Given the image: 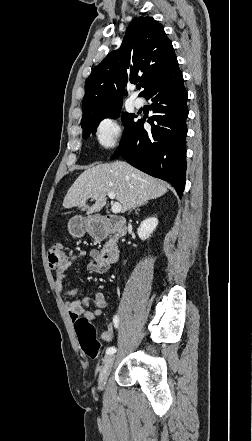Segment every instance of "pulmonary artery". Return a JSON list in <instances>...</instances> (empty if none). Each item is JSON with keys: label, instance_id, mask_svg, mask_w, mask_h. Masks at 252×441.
I'll list each match as a JSON object with an SVG mask.
<instances>
[{"label": "pulmonary artery", "instance_id": "e3ab8cb5", "mask_svg": "<svg viewBox=\"0 0 252 441\" xmlns=\"http://www.w3.org/2000/svg\"><path fill=\"white\" fill-rule=\"evenodd\" d=\"M133 105L135 108L139 109L143 106V100L141 98H135L133 100Z\"/></svg>", "mask_w": 252, "mask_h": 441}]
</instances>
